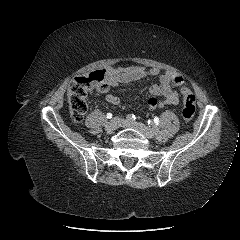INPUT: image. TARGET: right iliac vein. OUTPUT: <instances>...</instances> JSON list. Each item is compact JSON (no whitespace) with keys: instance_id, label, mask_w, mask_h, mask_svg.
Returning <instances> with one entry per match:
<instances>
[{"instance_id":"obj_1","label":"right iliac vein","mask_w":240,"mask_h":240,"mask_svg":"<svg viewBox=\"0 0 240 240\" xmlns=\"http://www.w3.org/2000/svg\"><path fill=\"white\" fill-rule=\"evenodd\" d=\"M124 121L118 117L111 119L105 126L106 131L112 132L119 128Z\"/></svg>"}]
</instances>
